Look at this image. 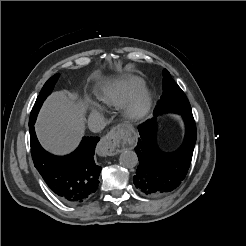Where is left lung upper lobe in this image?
I'll return each instance as SVG.
<instances>
[{"label":"left lung upper lobe","instance_id":"1","mask_svg":"<svg viewBox=\"0 0 246 246\" xmlns=\"http://www.w3.org/2000/svg\"><path fill=\"white\" fill-rule=\"evenodd\" d=\"M156 109L159 114L166 112L188 114L191 111L186 95L166 69L163 71V95L158 101Z\"/></svg>","mask_w":246,"mask_h":246}]
</instances>
